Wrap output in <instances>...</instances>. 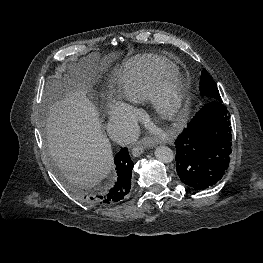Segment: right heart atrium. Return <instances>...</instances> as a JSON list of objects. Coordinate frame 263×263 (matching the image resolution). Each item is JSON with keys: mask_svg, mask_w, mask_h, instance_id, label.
I'll return each instance as SVG.
<instances>
[{"mask_svg": "<svg viewBox=\"0 0 263 263\" xmlns=\"http://www.w3.org/2000/svg\"><path fill=\"white\" fill-rule=\"evenodd\" d=\"M110 114L113 121L133 128L136 121L135 112L121 103H113L110 107Z\"/></svg>", "mask_w": 263, "mask_h": 263, "instance_id": "d8ad5b80", "label": "right heart atrium"}]
</instances>
